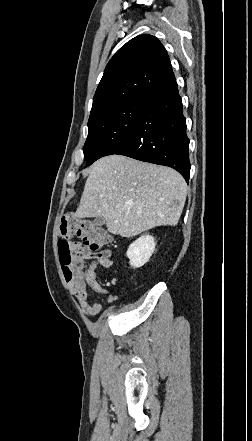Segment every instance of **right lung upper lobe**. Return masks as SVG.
<instances>
[{
	"mask_svg": "<svg viewBox=\"0 0 252 441\" xmlns=\"http://www.w3.org/2000/svg\"><path fill=\"white\" fill-rule=\"evenodd\" d=\"M174 78L166 49L151 35L123 45L107 64L90 116L113 105L141 99Z\"/></svg>",
	"mask_w": 252,
	"mask_h": 441,
	"instance_id": "cb5924a9",
	"label": "right lung upper lobe"
}]
</instances>
